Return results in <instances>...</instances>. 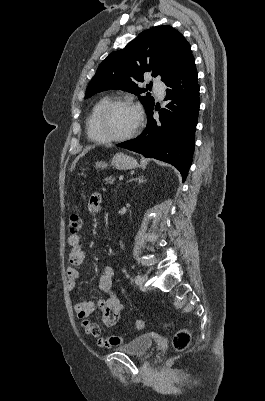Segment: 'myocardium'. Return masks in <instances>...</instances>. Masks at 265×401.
<instances>
[{
    "mask_svg": "<svg viewBox=\"0 0 265 401\" xmlns=\"http://www.w3.org/2000/svg\"><path fill=\"white\" fill-rule=\"evenodd\" d=\"M118 105H130L135 108L137 112V121L135 126L131 131L128 133L121 135V136H116V137H108L102 134L101 129H100V124L103 116L113 107L118 106ZM144 121V114L142 110L131 100L125 99V98H118V99H112L108 100L96 113L93 122H92V131L97 135V139L100 142H120V141H125L131 137H133L140 129Z\"/></svg>",
    "mask_w": 265,
    "mask_h": 401,
    "instance_id": "1",
    "label": "myocardium"
}]
</instances>
